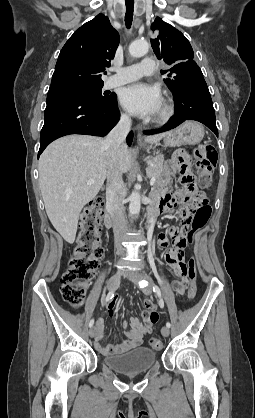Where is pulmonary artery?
Masks as SVG:
<instances>
[{
  "label": "pulmonary artery",
  "mask_w": 255,
  "mask_h": 418,
  "mask_svg": "<svg viewBox=\"0 0 255 418\" xmlns=\"http://www.w3.org/2000/svg\"><path fill=\"white\" fill-rule=\"evenodd\" d=\"M154 70L155 61L152 58L146 57L138 64L115 69L116 73L107 79L105 86L112 88L123 85L135 81L142 76L151 75Z\"/></svg>",
  "instance_id": "pulmonary-artery-1"
}]
</instances>
